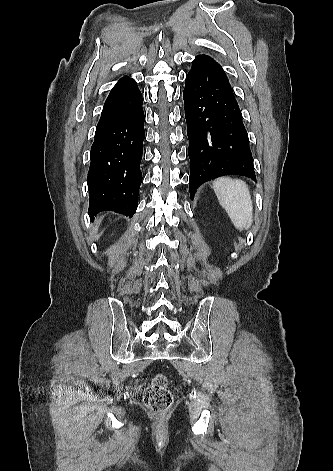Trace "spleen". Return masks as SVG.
Here are the masks:
<instances>
[{
	"label": "spleen",
	"instance_id": "spleen-1",
	"mask_svg": "<svg viewBox=\"0 0 333 471\" xmlns=\"http://www.w3.org/2000/svg\"><path fill=\"white\" fill-rule=\"evenodd\" d=\"M213 189L233 225L240 231L249 229L253 223V205L247 184L240 179L221 177L214 181Z\"/></svg>",
	"mask_w": 333,
	"mask_h": 471
}]
</instances>
